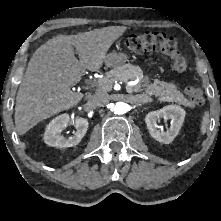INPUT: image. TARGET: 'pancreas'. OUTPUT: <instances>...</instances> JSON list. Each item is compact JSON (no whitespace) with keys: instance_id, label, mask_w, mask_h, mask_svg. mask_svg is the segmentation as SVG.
Instances as JSON below:
<instances>
[{"instance_id":"obj_1","label":"pancreas","mask_w":221,"mask_h":221,"mask_svg":"<svg viewBox=\"0 0 221 221\" xmlns=\"http://www.w3.org/2000/svg\"><path fill=\"white\" fill-rule=\"evenodd\" d=\"M139 77H143V72L138 66L132 64H124L109 71L99 81L102 82L100 91H110L113 83L117 80L128 81ZM141 83L132 87L133 91H143L145 95H155L159 97L161 101H170L182 104L184 106L189 105V101L184 95L177 90V87L173 83H167L164 81L155 80L152 84L147 85L144 89L141 88Z\"/></svg>"}]
</instances>
